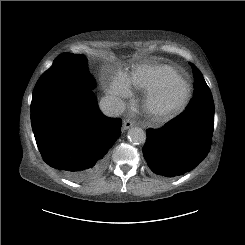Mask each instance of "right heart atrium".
<instances>
[{
    "label": "right heart atrium",
    "instance_id": "d8ad5b80",
    "mask_svg": "<svg viewBox=\"0 0 245 245\" xmlns=\"http://www.w3.org/2000/svg\"><path fill=\"white\" fill-rule=\"evenodd\" d=\"M106 91L114 99L126 98L130 95L131 90L126 76L116 71L110 75L106 82Z\"/></svg>",
    "mask_w": 245,
    "mask_h": 245
}]
</instances>
